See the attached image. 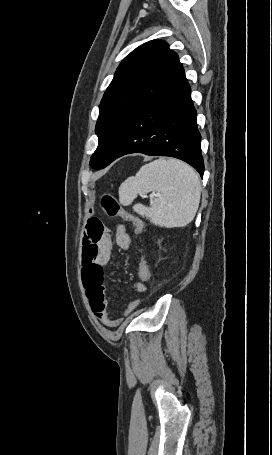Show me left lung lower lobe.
<instances>
[{"mask_svg":"<svg viewBox=\"0 0 272 455\" xmlns=\"http://www.w3.org/2000/svg\"><path fill=\"white\" fill-rule=\"evenodd\" d=\"M196 122L191 89L183 71L129 122L99 169L123 155L143 153L181 159L203 177L201 135Z\"/></svg>","mask_w":272,"mask_h":455,"instance_id":"1","label":"left lung lower lobe"}]
</instances>
